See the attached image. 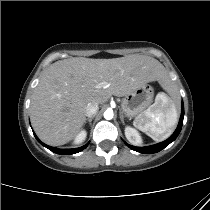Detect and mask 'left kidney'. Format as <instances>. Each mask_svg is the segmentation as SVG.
<instances>
[{
  "mask_svg": "<svg viewBox=\"0 0 210 210\" xmlns=\"http://www.w3.org/2000/svg\"><path fill=\"white\" fill-rule=\"evenodd\" d=\"M124 131H125L124 132L125 136L130 143H132L134 145L142 144V138L136 129H134L130 126H126Z\"/></svg>",
  "mask_w": 210,
  "mask_h": 210,
  "instance_id": "left-kidney-1",
  "label": "left kidney"
}]
</instances>
